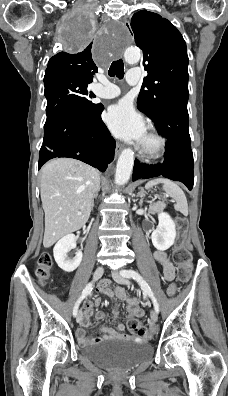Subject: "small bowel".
<instances>
[{"mask_svg": "<svg viewBox=\"0 0 228 396\" xmlns=\"http://www.w3.org/2000/svg\"><path fill=\"white\" fill-rule=\"evenodd\" d=\"M154 257L162 269V273L165 280L168 282H172L175 275V269L173 264L170 262L169 258L167 257L166 253L163 251H156ZM99 291L108 298L112 299L114 302L118 299L126 302L129 312L128 315L129 320L137 319L143 316V311L139 307V301L136 298L130 297L123 288L117 287L115 289H112L110 287V281L105 280L101 282V284L99 285ZM167 291L169 295L175 294L176 286L174 284H170ZM99 303H100V298H96L94 301H86L83 305L84 311L82 314V319L79 323L80 326L77 328L76 331L77 338L81 344L87 345L92 343H98L103 339H110V338H123V339H136V340L143 339V337L138 335L132 336L124 333L125 331L124 324H119L116 329L101 326L100 330L105 333L103 337H96V338L87 337L84 328L89 324V318L92 315L94 306L99 305ZM118 314H119V310L115 306L114 317L116 318ZM95 319L97 322H101L104 319V313L98 311L95 315Z\"/></svg>", "mask_w": 228, "mask_h": 396, "instance_id": "c3829d8e", "label": "small bowel"}]
</instances>
